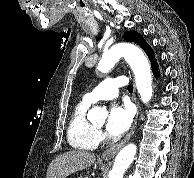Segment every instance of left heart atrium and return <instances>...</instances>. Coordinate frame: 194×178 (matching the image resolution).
I'll list each match as a JSON object with an SVG mask.
<instances>
[{"instance_id": "obj_1", "label": "left heart atrium", "mask_w": 194, "mask_h": 178, "mask_svg": "<svg viewBox=\"0 0 194 178\" xmlns=\"http://www.w3.org/2000/svg\"><path fill=\"white\" fill-rule=\"evenodd\" d=\"M132 120L133 112L130 106L115 104L110 109L106 130L111 135H121L129 129Z\"/></svg>"}]
</instances>
